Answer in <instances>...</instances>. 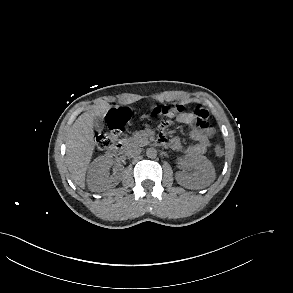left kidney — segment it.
I'll return each mask as SVG.
<instances>
[{"label":"left kidney","instance_id":"left-kidney-1","mask_svg":"<svg viewBox=\"0 0 293 293\" xmlns=\"http://www.w3.org/2000/svg\"><path fill=\"white\" fill-rule=\"evenodd\" d=\"M184 163L195 169L193 177L184 172H177L175 178L182 185H193L200 189L210 185L215 179V169L212 163L202 155H186Z\"/></svg>","mask_w":293,"mask_h":293}]
</instances>
